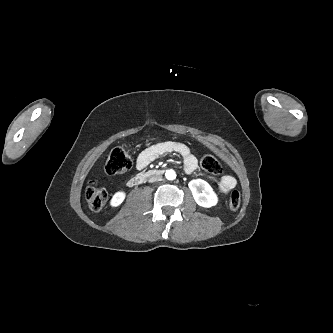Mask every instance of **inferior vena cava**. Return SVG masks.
Returning <instances> with one entry per match:
<instances>
[{
  "instance_id": "602c4592",
  "label": "inferior vena cava",
  "mask_w": 333,
  "mask_h": 333,
  "mask_svg": "<svg viewBox=\"0 0 333 333\" xmlns=\"http://www.w3.org/2000/svg\"><path fill=\"white\" fill-rule=\"evenodd\" d=\"M161 178H162V176H160V175H154V176H151L150 178H149V182H155V181H159V180H161Z\"/></svg>"
}]
</instances>
